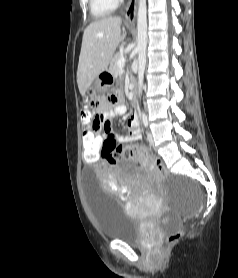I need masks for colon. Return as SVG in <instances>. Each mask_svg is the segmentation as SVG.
<instances>
[{"instance_id":"1","label":"colon","mask_w":238,"mask_h":278,"mask_svg":"<svg viewBox=\"0 0 238 278\" xmlns=\"http://www.w3.org/2000/svg\"><path fill=\"white\" fill-rule=\"evenodd\" d=\"M108 100H116V97L110 96ZM96 116L97 112L93 104L87 105L82 112V118L87 124H91ZM82 136H94V131H82ZM83 148L85 149L83 151L85 162H98V159L106 158L108 162L116 163L124 158L140 156L147 159L150 166L155 169L160 177L164 178L168 174L161 159L150 157L143 148L138 146L130 145L122 147L114 142L106 144L103 137H83ZM181 235L182 230L170 233L167 236V243L172 244L176 242Z\"/></svg>"}]
</instances>
